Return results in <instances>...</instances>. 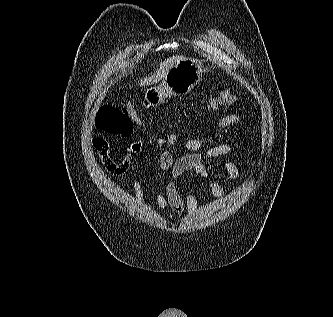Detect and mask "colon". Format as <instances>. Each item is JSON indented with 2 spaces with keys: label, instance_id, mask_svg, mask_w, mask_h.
<instances>
[{
  "label": "colon",
  "instance_id": "5ec220e1",
  "mask_svg": "<svg viewBox=\"0 0 333 317\" xmlns=\"http://www.w3.org/2000/svg\"><path fill=\"white\" fill-rule=\"evenodd\" d=\"M237 101V96L231 91H224L218 97L209 101L208 106L213 110L226 109ZM141 120L132 103L123 106H102L96 113L95 125L104 132L115 136L128 137L132 134L134 124H140ZM162 142L170 144L171 138Z\"/></svg>",
  "mask_w": 333,
  "mask_h": 317
}]
</instances>
